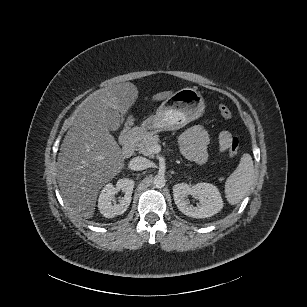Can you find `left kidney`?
Wrapping results in <instances>:
<instances>
[{
  "label": "left kidney",
  "instance_id": "obj_1",
  "mask_svg": "<svg viewBox=\"0 0 307 307\" xmlns=\"http://www.w3.org/2000/svg\"><path fill=\"white\" fill-rule=\"evenodd\" d=\"M173 194L179 210L190 217L208 218L218 213L224 206L220 190L211 183L199 182L193 187L179 183L174 186ZM189 194L199 196L195 207L188 204Z\"/></svg>",
  "mask_w": 307,
  "mask_h": 307
}]
</instances>
